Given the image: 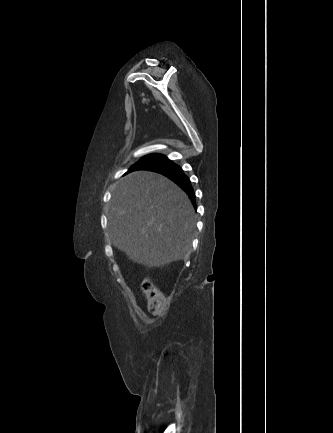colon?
Instances as JSON below:
<instances>
[{"label":"colon","instance_id":"obj_1","mask_svg":"<svg viewBox=\"0 0 333 433\" xmlns=\"http://www.w3.org/2000/svg\"><path fill=\"white\" fill-rule=\"evenodd\" d=\"M142 291L149 301V310L154 315H160L165 306V299L161 291L154 285L150 279H144Z\"/></svg>","mask_w":333,"mask_h":433}]
</instances>
